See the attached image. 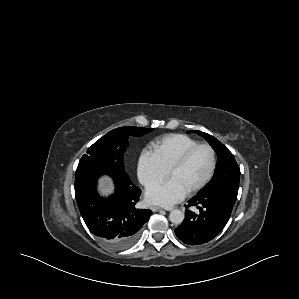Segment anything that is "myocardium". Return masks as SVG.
Returning <instances> with one entry per match:
<instances>
[{
	"instance_id": "myocardium-1",
	"label": "myocardium",
	"mask_w": 299,
	"mask_h": 299,
	"mask_svg": "<svg viewBox=\"0 0 299 299\" xmlns=\"http://www.w3.org/2000/svg\"><path fill=\"white\" fill-rule=\"evenodd\" d=\"M199 148H207L210 151L211 167L206 177L199 184L187 191L188 194H194L200 191L210 182V180L214 176L217 167V156L213 146L209 143H197L191 146L175 161V163L170 167L168 171V175L171 176L175 171L182 168L186 164L188 159L191 157V155Z\"/></svg>"
}]
</instances>
